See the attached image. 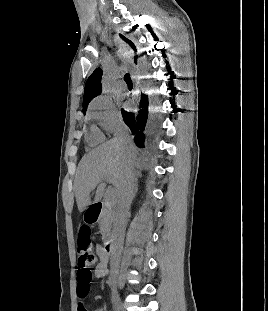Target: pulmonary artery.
Listing matches in <instances>:
<instances>
[{
    "mask_svg": "<svg viewBox=\"0 0 268 311\" xmlns=\"http://www.w3.org/2000/svg\"><path fill=\"white\" fill-rule=\"evenodd\" d=\"M125 87H126V86H125L124 83H122L121 81L118 82V84H117V88H118V89H125Z\"/></svg>",
    "mask_w": 268,
    "mask_h": 311,
    "instance_id": "obj_1",
    "label": "pulmonary artery"
}]
</instances>
